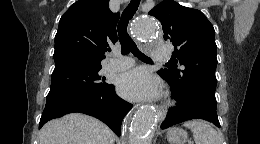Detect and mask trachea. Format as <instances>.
<instances>
[{"label":"trachea","instance_id":"3493384b","mask_svg":"<svg viewBox=\"0 0 260 144\" xmlns=\"http://www.w3.org/2000/svg\"><path fill=\"white\" fill-rule=\"evenodd\" d=\"M139 4L140 0H131L129 5L123 11L121 19L119 21L117 30L119 34V41L121 44V53L122 55H127L131 52L138 59L147 63H152V60L149 57L139 51L135 42L132 40L127 32L129 20L132 19L133 15L136 13Z\"/></svg>","mask_w":260,"mask_h":144}]
</instances>
